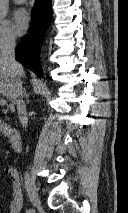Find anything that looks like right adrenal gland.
<instances>
[{
    "label": "right adrenal gland",
    "mask_w": 128,
    "mask_h": 213,
    "mask_svg": "<svg viewBox=\"0 0 128 213\" xmlns=\"http://www.w3.org/2000/svg\"><path fill=\"white\" fill-rule=\"evenodd\" d=\"M26 101L29 100V94L26 92V89L23 90Z\"/></svg>",
    "instance_id": "2a0ac1e0"
}]
</instances>
